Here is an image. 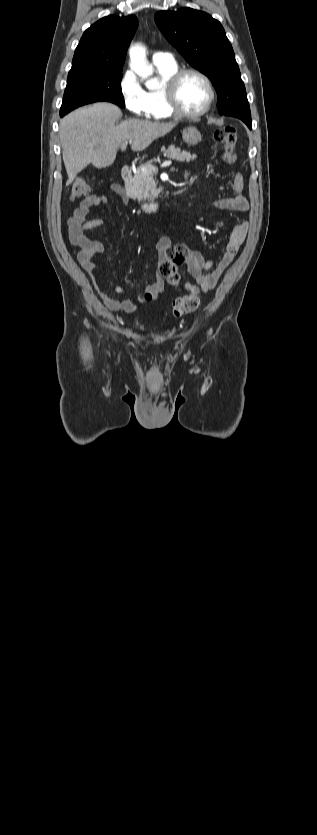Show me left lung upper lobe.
Masks as SVG:
<instances>
[{"label": "left lung upper lobe", "instance_id": "1", "mask_svg": "<svg viewBox=\"0 0 317 835\" xmlns=\"http://www.w3.org/2000/svg\"><path fill=\"white\" fill-rule=\"evenodd\" d=\"M155 22L189 64L210 78L218 94L219 113L251 119L234 51L220 22L191 8L159 11Z\"/></svg>", "mask_w": 317, "mask_h": 835}]
</instances>
